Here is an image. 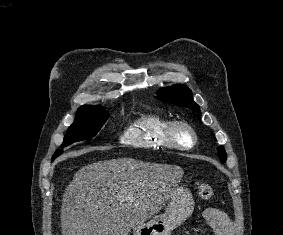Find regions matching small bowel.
Instances as JSON below:
<instances>
[{
    "label": "small bowel",
    "mask_w": 283,
    "mask_h": 235,
    "mask_svg": "<svg viewBox=\"0 0 283 235\" xmlns=\"http://www.w3.org/2000/svg\"><path fill=\"white\" fill-rule=\"evenodd\" d=\"M203 217L213 228L215 235H231L233 223L231 219L216 208L208 207L203 211Z\"/></svg>",
    "instance_id": "c3829d8e"
}]
</instances>
